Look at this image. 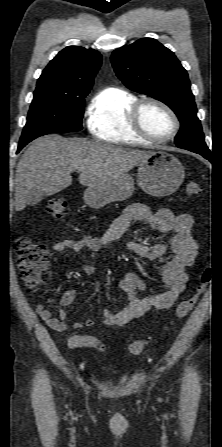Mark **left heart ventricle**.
<instances>
[{"label":"left heart ventricle","mask_w":222,"mask_h":447,"mask_svg":"<svg viewBox=\"0 0 222 447\" xmlns=\"http://www.w3.org/2000/svg\"><path fill=\"white\" fill-rule=\"evenodd\" d=\"M141 121L146 131L157 138L167 137L173 130L169 115L154 104H146L143 107Z\"/></svg>","instance_id":"1"}]
</instances>
